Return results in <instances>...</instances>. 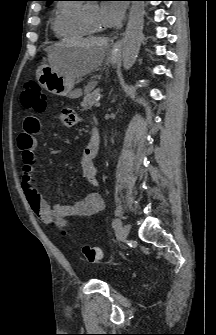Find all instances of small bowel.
Instances as JSON below:
<instances>
[{
  "label": "small bowel",
  "instance_id": "obj_1",
  "mask_svg": "<svg viewBox=\"0 0 216 335\" xmlns=\"http://www.w3.org/2000/svg\"><path fill=\"white\" fill-rule=\"evenodd\" d=\"M60 118L67 126L74 125L79 121V118L69 108L61 110ZM41 128L42 123L38 118H26L23 131L17 139L22 160V187L32 211L44 224L58 228L66 227L71 218L87 217L101 212L104 203L97 193H91L83 200L73 204H52L43 196L35 179L36 137ZM99 146L100 139L95 140L91 135L80 159L83 176L91 186H97L98 183L94 159L98 154Z\"/></svg>",
  "mask_w": 216,
  "mask_h": 335
}]
</instances>
